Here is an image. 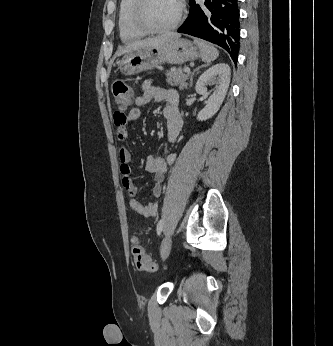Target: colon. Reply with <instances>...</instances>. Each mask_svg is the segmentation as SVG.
Segmentation results:
<instances>
[{
  "instance_id": "obj_1",
  "label": "colon",
  "mask_w": 333,
  "mask_h": 346,
  "mask_svg": "<svg viewBox=\"0 0 333 346\" xmlns=\"http://www.w3.org/2000/svg\"><path fill=\"white\" fill-rule=\"evenodd\" d=\"M112 94L115 104L119 109L118 112H116L115 117L118 115L122 119H125V109L132 101L130 87L125 82L116 80L112 84ZM131 252L134 264L138 270L153 272L157 269V265L151 261L143 245L137 239L133 241Z\"/></svg>"
}]
</instances>
